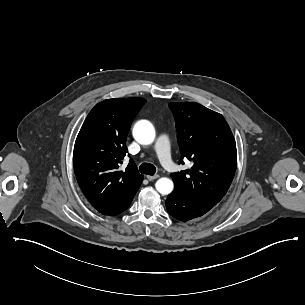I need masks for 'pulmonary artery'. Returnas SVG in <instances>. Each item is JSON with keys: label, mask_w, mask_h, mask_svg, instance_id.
<instances>
[{"label": "pulmonary artery", "mask_w": 305, "mask_h": 305, "mask_svg": "<svg viewBox=\"0 0 305 305\" xmlns=\"http://www.w3.org/2000/svg\"><path fill=\"white\" fill-rule=\"evenodd\" d=\"M170 141L165 134L159 135L157 140L154 142L152 149L155 151L160 159V164L162 167L166 168L168 172L175 173L177 171V166L172 162L170 158Z\"/></svg>", "instance_id": "1"}]
</instances>
